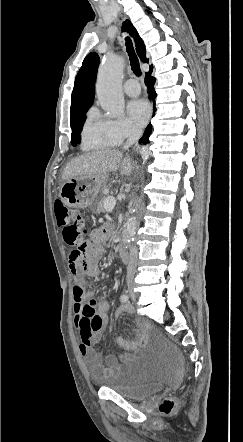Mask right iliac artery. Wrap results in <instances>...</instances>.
<instances>
[{
    "label": "right iliac artery",
    "instance_id": "1",
    "mask_svg": "<svg viewBox=\"0 0 243 442\" xmlns=\"http://www.w3.org/2000/svg\"><path fill=\"white\" fill-rule=\"evenodd\" d=\"M120 299H121V301H122V302H124V303H125V302H127V301H128L129 297H128V295H127V294H123V295L121 296V298H120Z\"/></svg>",
    "mask_w": 243,
    "mask_h": 442
}]
</instances>
